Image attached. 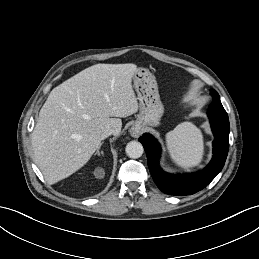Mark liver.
Returning a JSON list of instances; mask_svg holds the SVG:
<instances>
[{
	"mask_svg": "<svg viewBox=\"0 0 259 259\" xmlns=\"http://www.w3.org/2000/svg\"><path fill=\"white\" fill-rule=\"evenodd\" d=\"M136 71L134 64H96L50 92L31 141L35 163L49 184L83 167L99 148L104 130L119 135L120 118L137 112L131 85Z\"/></svg>",
	"mask_w": 259,
	"mask_h": 259,
	"instance_id": "1",
	"label": "liver"
}]
</instances>
